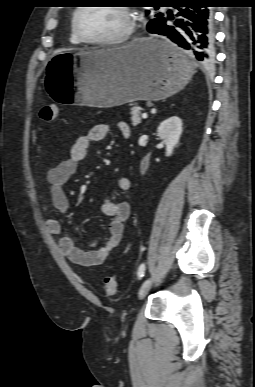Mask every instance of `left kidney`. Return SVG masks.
<instances>
[{
  "label": "left kidney",
  "instance_id": "left-kidney-1",
  "mask_svg": "<svg viewBox=\"0 0 255 387\" xmlns=\"http://www.w3.org/2000/svg\"><path fill=\"white\" fill-rule=\"evenodd\" d=\"M157 132L166 145V157L171 156L182 134V120L177 116L169 117L160 124Z\"/></svg>",
  "mask_w": 255,
  "mask_h": 387
}]
</instances>
